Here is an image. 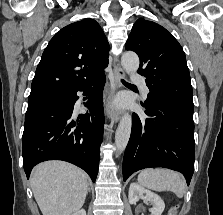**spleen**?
I'll list each match as a JSON object with an SVG mask.
<instances>
[{
    "instance_id": "3e777b00",
    "label": "spleen",
    "mask_w": 223,
    "mask_h": 215,
    "mask_svg": "<svg viewBox=\"0 0 223 215\" xmlns=\"http://www.w3.org/2000/svg\"><path fill=\"white\" fill-rule=\"evenodd\" d=\"M138 183L149 187V189H155V191H174L177 197H183V193L186 191V183L182 179L180 173L177 171H170V169H143L138 175Z\"/></svg>"
}]
</instances>
